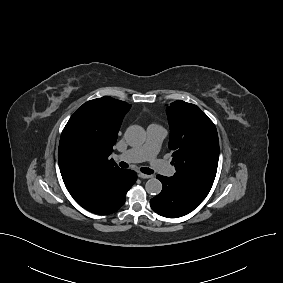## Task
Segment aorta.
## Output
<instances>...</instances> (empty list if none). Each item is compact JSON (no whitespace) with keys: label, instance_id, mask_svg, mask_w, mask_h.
Instances as JSON below:
<instances>
[{"label":"aorta","instance_id":"obj_1","mask_svg":"<svg viewBox=\"0 0 283 283\" xmlns=\"http://www.w3.org/2000/svg\"><path fill=\"white\" fill-rule=\"evenodd\" d=\"M125 139L130 146L142 145L146 139L145 130L139 125H131L125 132ZM145 189L151 195H158L162 191V183L156 178H151L146 182Z\"/></svg>","mask_w":283,"mask_h":283}]
</instances>
